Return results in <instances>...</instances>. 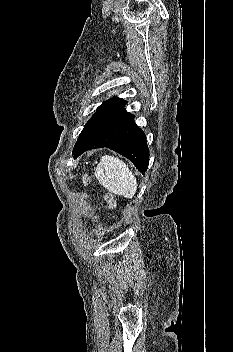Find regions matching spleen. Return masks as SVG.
Segmentation results:
<instances>
[{"label":"spleen","instance_id":"1","mask_svg":"<svg viewBox=\"0 0 233 352\" xmlns=\"http://www.w3.org/2000/svg\"><path fill=\"white\" fill-rule=\"evenodd\" d=\"M94 174L104 188L116 195L131 199L137 191L133 172L117 157L102 156Z\"/></svg>","mask_w":233,"mask_h":352}]
</instances>
